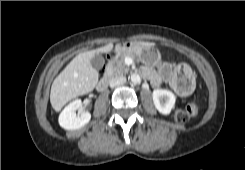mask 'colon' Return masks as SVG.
<instances>
[{"instance_id": "obj_1", "label": "colon", "mask_w": 245, "mask_h": 170, "mask_svg": "<svg viewBox=\"0 0 245 170\" xmlns=\"http://www.w3.org/2000/svg\"><path fill=\"white\" fill-rule=\"evenodd\" d=\"M182 71L183 65H179L174 72V76L172 78V83L177 84L182 82ZM199 112V105L196 100L191 101L187 104L186 108H178L174 112V119L178 123H185L189 120L190 117L196 116Z\"/></svg>"}]
</instances>
